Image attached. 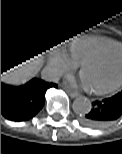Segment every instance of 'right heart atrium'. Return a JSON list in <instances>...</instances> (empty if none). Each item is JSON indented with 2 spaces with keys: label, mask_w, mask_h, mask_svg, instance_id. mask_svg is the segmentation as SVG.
I'll list each match as a JSON object with an SVG mask.
<instances>
[{
  "label": "right heart atrium",
  "mask_w": 122,
  "mask_h": 154,
  "mask_svg": "<svg viewBox=\"0 0 122 154\" xmlns=\"http://www.w3.org/2000/svg\"><path fill=\"white\" fill-rule=\"evenodd\" d=\"M77 65V61L62 47H55L48 58L49 73L54 77L61 76L65 72L76 68Z\"/></svg>",
  "instance_id": "obj_1"
}]
</instances>
